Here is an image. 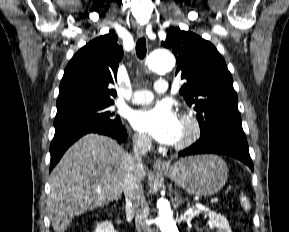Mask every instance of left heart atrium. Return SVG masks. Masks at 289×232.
Segmentation results:
<instances>
[{
    "mask_svg": "<svg viewBox=\"0 0 289 232\" xmlns=\"http://www.w3.org/2000/svg\"><path fill=\"white\" fill-rule=\"evenodd\" d=\"M132 126L164 144L178 142L181 123L173 110L166 104L145 107L133 112Z\"/></svg>",
    "mask_w": 289,
    "mask_h": 232,
    "instance_id": "39dd6f15",
    "label": "left heart atrium"
}]
</instances>
